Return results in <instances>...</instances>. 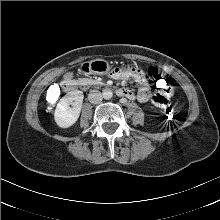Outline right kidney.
Masks as SVG:
<instances>
[{
    "label": "right kidney",
    "mask_w": 220,
    "mask_h": 220,
    "mask_svg": "<svg viewBox=\"0 0 220 220\" xmlns=\"http://www.w3.org/2000/svg\"><path fill=\"white\" fill-rule=\"evenodd\" d=\"M83 98L82 91L74 90L60 99L54 113L55 122L59 127L68 128L78 120Z\"/></svg>",
    "instance_id": "ca27d5eb"
}]
</instances>
